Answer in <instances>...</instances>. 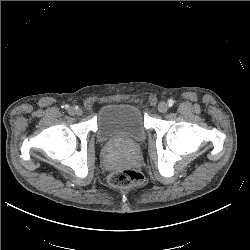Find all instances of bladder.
Here are the masks:
<instances>
[{
    "label": "bladder",
    "instance_id": "bladder-1",
    "mask_svg": "<svg viewBox=\"0 0 250 250\" xmlns=\"http://www.w3.org/2000/svg\"><path fill=\"white\" fill-rule=\"evenodd\" d=\"M96 138L101 145L141 144L147 138V129L140 109L130 103L103 105L97 117Z\"/></svg>",
    "mask_w": 250,
    "mask_h": 250
}]
</instances>
